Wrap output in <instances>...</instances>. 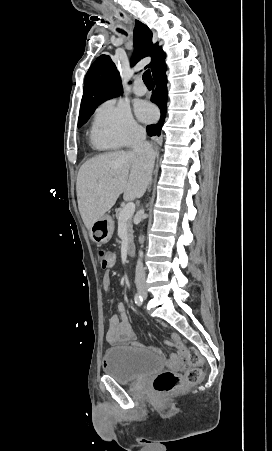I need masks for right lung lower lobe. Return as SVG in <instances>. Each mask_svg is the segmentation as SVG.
I'll use <instances>...</instances> for the list:
<instances>
[{
    "instance_id": "obj_1",
    "label": "right lung lower lobe",
    "mask_w": 272,
    "mask_h": 451,
    "mask_svg": "<svg viewBox=\"0 0 272 451\" xmlns=\"http://www.w3.org/2000/svg\"><path fill=\"white\" fill-rule=\"evenodd\" d=\"M166 64L165 61L157 66L155 71L152 73L156 89L151 96V101L158 105L161 112V117L158 123L148 125L147 133L149 136H160L162 126L165 121L166 111H167V77H166Z\"/></svg>"
}]
</instances>
